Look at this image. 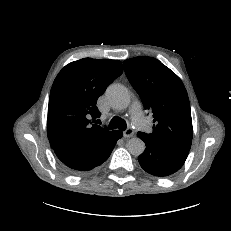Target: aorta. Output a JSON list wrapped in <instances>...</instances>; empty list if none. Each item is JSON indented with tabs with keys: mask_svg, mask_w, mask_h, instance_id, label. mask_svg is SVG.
I'll use <instances>...</instances> for the list:
<instances>
[{
	"mask_svg": "<svg viewBox=\"0 0 231 231\" xmlns=\"http://www.w3.org/2000/svg\"><path fill=\"white\" fill-rule=\"evenodd\" d=\"M108 102L116 109H125L129 106L130 95L128 90L119 84L111 85L106 92ZM127 150L134 156H139L145 151V143L142 139L134 137L128 140Z\"/></svg>",
	"mask_w": 231,
	"mask_h": 231,
	"instance_id": "762f6f07",
	"label": "aorta"
}]
</instances>
